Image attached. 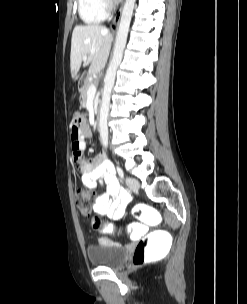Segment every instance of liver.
Listing matches in <instances>:
<instances>
[{
    "mask_svg": "<svg viewBox=\"0 0 247 304\" xmlns=\"http://www.w3.org/2000/svg\"><path fill=\"white\" fill-rule=\"evenodd\" d=\"M113 36L101 25H79L72 33L70 68L72 78L78 79L77 73L82 63H90L89 75L98 74L106 65ZM84 55L87 59L83 60Z\"/></svg>",
    "mask_w": 247,
    "mask_h": 304,
    "instance_id": "liver-1",
    "label": "liver"
}]
</instances>
